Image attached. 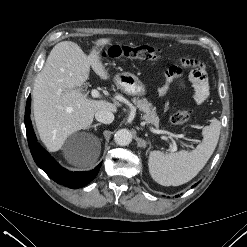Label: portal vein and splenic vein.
Listing matches in <instances>:
<instances>
[{"instance_id":"portal-vein-and-splenic-vein-1","label":"portal vein and splenic vein","mask_w":247,"mask_h":247,"mask_svg":"<svg viewBox=\"0 0 247 247\" xmlns=\"http://www.w3.org/2000/svg\"><path fill=\"white\" fill-rule=\"evenodd\" d=\"M91 96L93 98H100L101 94L99 93V91L97 89H92L91 90ZM150 130H151V132L156 133V134H168L170 139L173 141V147L171 148V151L174 152L177 150L176 144H175V141L173 140V138L178 139V138H180V135L173 134V133L166 131V130L154 129L153 127H150Z\"/></svg>"}]
</instances>
